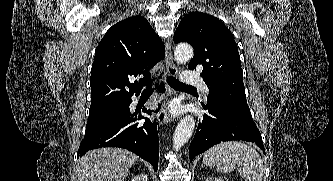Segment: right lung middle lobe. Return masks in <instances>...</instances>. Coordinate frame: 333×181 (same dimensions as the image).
Returning a JSON list of instances; mask_svg holds the SVG:
<instances>
[{"label": "right lung middle lobe", "mask_w": 333, "mask_h": 181, "mask_svg": "<svg viewBox=\"0 0 333 181\" xmlns=\"http://www.w3.org/2000/svg\"><path fill=\"white\" fill-rule=\"evenodd\" d=\"M125 102L126 101L115 103V104L105 106L102 108H98V109H94V110H89V118H88L87 123L98 120V119L110 114L112 111H114L115 109L122 106Z\"/></svg>", "instance_id": "right-lung-middle-lobe-1"}]
</instances>
